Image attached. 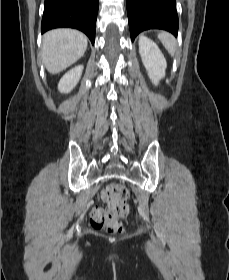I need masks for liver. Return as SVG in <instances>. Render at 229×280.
<instances>
[{
    "mask_svg": "<svg viewBox=\"0 0 229 280\" xmlns=\"http://www.w3.org/2000/svg\"><path fill=\"white\" fill-rule=\"evenodd\" d=\"M87 49V37L73 29H54L43 36L42 59L52 74L60 73L78 61Z\"/></svg>",
    "mask_w": 229,
    "mask_h": 280,
    "instance_id": "obj_1",
    "label": "liver"
}]
</instances>
